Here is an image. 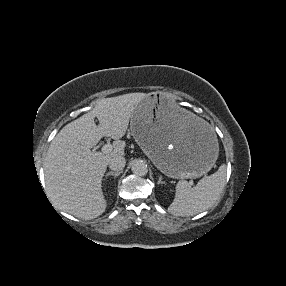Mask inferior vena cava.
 Wrapping results in <instances>:
<instances>
[{"instance_id": "602c4592", "label": "inferior vena cava", "mask_w": 286, "mask_h": 286, "mask_svg": "<svg viewBox=\"0 0 286 286\" xmlns=\"http://www.w3.org/2000/svg\"><path fill=\"white\" fill-rule=\"evenodd\" d=\"M126 164L125 158L120 155L112 157L108 163L109 168L113 171L120 172L124 169Z\"/></svg>"}]
</instances>
